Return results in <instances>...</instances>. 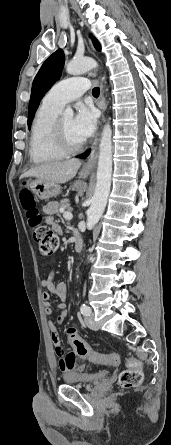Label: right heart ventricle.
Returning <instances> with one entry per match:
<instances>
[{
    "instance_id": "1",
    "label": "right heart ventricle",
    "mask_w": 171,
    "mask_h": 445,
    "mask_svg": "<svg viewBox=\"0 0 171 445\" xmlns=\"http://www.w3.org/2000/svg\"><path fill=\"white\" fill-rule=\"evenodd\" d=\"M60 110L43 102L35 114L29 142V154L34 163H47L64 156L53 144L51 136L52 123Z\"/></svg>"
}]
</instances>
